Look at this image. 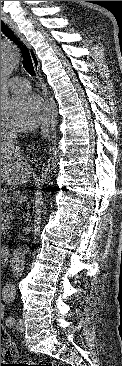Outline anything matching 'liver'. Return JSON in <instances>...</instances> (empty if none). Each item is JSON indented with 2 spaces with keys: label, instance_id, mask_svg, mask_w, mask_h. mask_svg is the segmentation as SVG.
<instances>
[{
  "label": "liver",
  "instance_id": "liver-1",
  "mask_svg": "<svg viewBox=\"0 0 122 366\" xmlns=\"http://www.w3.org/2000/svg\"><path fill=\"white\" fill-rule=\"evenodd\" d=\"M31 166L20 149L9 148L1 138V184L17 186L27 182L31 176Z\"/></svg>",
  "mask_w": 122,
  "mask_h": 366
}]
</instances>
